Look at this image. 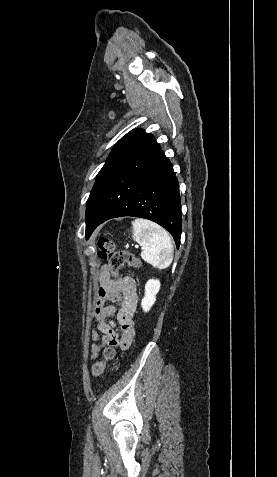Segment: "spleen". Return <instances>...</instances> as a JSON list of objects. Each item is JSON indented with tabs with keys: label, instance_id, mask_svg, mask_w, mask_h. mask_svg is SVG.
I'll return each mask as SVG.
<instances>
[{
	"label": "spleen",
	"instance_id": "spleen-1",
	"mask_svg": "<svg viewBox=\"0 0 277 477\" xmlns=\"http://www.w3.org/2000/svg\"><path fill=\"white\" fill-rule=\"evenodd\" d=\"M133 239L142 246L141 258L158 269L167 268L173 260L174 245L168 232L149 220L132 222Z\"/></svg>",
	"mask_w": 277,
	"mask_h": 477
}]
</instances>
